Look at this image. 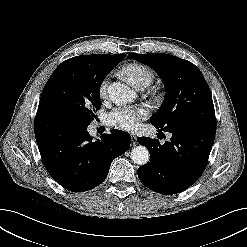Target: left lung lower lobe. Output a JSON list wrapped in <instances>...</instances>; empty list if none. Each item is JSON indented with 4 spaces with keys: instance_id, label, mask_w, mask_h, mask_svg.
<instances>
[{
    "instance_id": "1",
    "label": "left lung lower lobe",
    "mask_w": 247,
    "mask_h": 247,
    "mask_svg": "<svg viewBox=\"0 0 247 247\" xmlns=\"http://www.w3.org/2000/svg\"><path fill=\"white\" fill-rule=\"evenodd\" d=\"M164 132L172 134L170 141L164 144L148 137L137 139L150 152V162L137 172L147 188L172 195L186 190L200 178L208 162L216 129L191 126Z\"/></svg>"
}]
</instances>
